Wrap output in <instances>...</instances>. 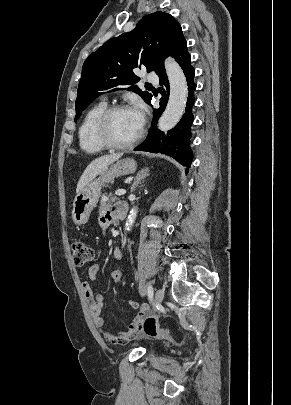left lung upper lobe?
I'll return each instance as SVG.
<instances>
[{
    "label": "left lung upper lobe",
    "mask_w": 291,
    "mask_h": 405,
    "mask_svg": "<svg viewBox=\"0 0 291 405\" xmlns=\"http://www.w3.org/2000/svg\"><path fill=\"white\" fill-rule=\"evenodd\" d=\"M183 39L180 24L158 11L143 17L133 31L108 40L83 64L75 121L96 97L108 91L127 88L149 103L152 95L134 85L139 81L134 69L145 66L147 72H156Z\"/></svg>",
    "instance_id": "5c2ea615"
}]
</instances>
